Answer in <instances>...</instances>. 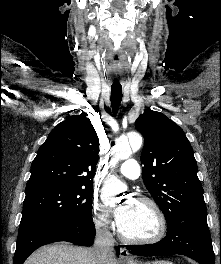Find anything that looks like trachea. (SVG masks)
<instances>
[{
    "label": "trachea",
    "mask_w": 221,
    "mask_h": 264,
    "mask_svg": "<svg viewBox=\"0 0 221 264\" xmlns=\"http://www.w3.org/2000/svg\"><path fill=\"white\" fill-rule=\"evenodd\" d=\"M122 100V86L112 85L111 86V107L114 114L119 110Z\"/></svg>",
    "instance_id": "obj_1"
}]
</instances>
